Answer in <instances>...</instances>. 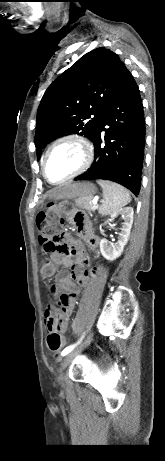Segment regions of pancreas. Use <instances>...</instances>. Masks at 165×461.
<instances>
[{
	"label": "pancreas",
	"instance_id": "pancreas-1",
	"mask_svg": "<svg viewBox=\"0 0 165 461\" xmlns=\"http://www.w3.org/2000/svg\"><path fill=\"white\" fill-rule=\"evenodd\" d=\"M75 205L80 209H86L89 211L96 210V206L92 204V198L89 197H82L75 199Z\"/></svg>",
	"mask_w": 165,
	"mask_h": 461
}]
</instances>
